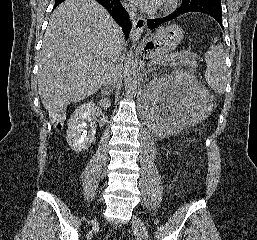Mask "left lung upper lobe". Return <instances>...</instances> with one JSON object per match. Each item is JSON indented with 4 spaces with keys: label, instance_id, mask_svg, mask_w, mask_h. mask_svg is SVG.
Here are the masks:
<instances>
[{
    "label": "left lung upper lobe",
    "instance_id": "5c2ea615",
    "mask_svg": "<svg viewBox=\"0 0 257 240\" xmlns=\"http://www.w3.org/2000/svg\"><path fill=\"white\" fill-rule=\"evenodd\" d=\"M208 2H220L221 0H182V3L185 5H199V4H204V3H208Z\"/></svg>",
    "mask_w": 257,
    "mask_h": 240
}]
</instances>
